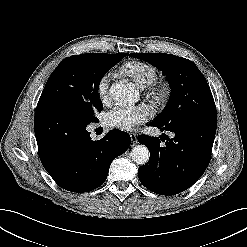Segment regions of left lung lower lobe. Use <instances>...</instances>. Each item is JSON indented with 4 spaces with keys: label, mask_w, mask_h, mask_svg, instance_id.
I'll return each instance as SVG.
<instances>
[{
    "label": "left lung lower lobe",
    "mask_w": 247,
    "mask_h": 247,
    "mask_svg": "<svg viewBox=\"0 0 247 247\" xmlns=\"http://www.w3.org/2000/svg\"><path fill=\"white\" fill-rule=\"evenodd\" d=\"M150 125L175 136L167 137L166 142L162 137L138 136L139 143L150 151L149 161L138 170L140 182L161 195H175L190 188L209 164L216 125L192 123L169 128L154 122Z\"/></svg>",
    "instance_id": "1"
}]
</instances>
